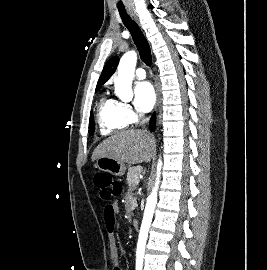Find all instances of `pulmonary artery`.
<instances>
[{"label": "pulmonary artery", "mask_w": 267, "mask_h": 270, "mask_svg": "<svg viewBox=\"0 0 267 270\" xmlns=\"http://www.w3.org/2000/svg\"><path fill=\"white\" fill-rule=\"evenodd\" d=\"M135 77L139 80H142L146 77L145 70L143 68H137L135 71Z\"/></svg>", "instance_id": "e3ab8cb5"}]
</instances>
